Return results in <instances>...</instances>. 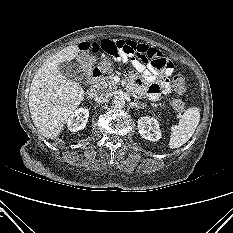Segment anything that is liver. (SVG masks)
Returning <instances> with one entry per match:
<instances>
[{"instance_id": "1", "label": "liver", "mask_w": 233, "mask_h": 233, "mask_svg": "<svg viewBox=\"0 0 233 233\" xmlns=\"http://www.w3.org/2000/svg\"><path fill=\"white\" fill-rule=\"evenodd\" d=\"M78 52V46L71 45L52 55L32 80L29 93L31 118L46 138H56L60 134L67 119L84 99L82 86L58 70L61 63L73 60Z\"/></svg>"}]
</instances>
